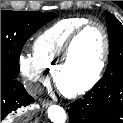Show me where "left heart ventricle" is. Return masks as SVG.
Segmentation results:
<instances>
[{
  "label": "left heart ventricle",
  "mask_w": 123,
  "mask_h": 123,
  "mask_svg": "<svg viewBox=\"0 0 123 123\" xmlns=\"http://www.w3.org/2000/svg\"><path fill=\"white\" fill-rule=\"evenodd\" d=\"M103 51V36L96 26L88 28L75 42L70 62L61 82L73 88L87 82L95 73Z\"/></svg>",
  "instance_id": "1"
}]
</instances>
